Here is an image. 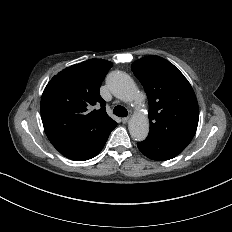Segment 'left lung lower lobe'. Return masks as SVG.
<instances>
[{"label": "left lung lower lobe", "mask_w": 232, "mask_h": 232, "mask_svg": "<svg viewBox=\"0 0 232 232\" xmlns=\"http://www.w3.org/2000/svg\"><path fill=\"white\" fill-rule=\"evenodd\" d=\"M137 146L146 157L158 161L172 159L184 150L175 144L151 135H148L144 141L138 142Z\"/></svg>", "instance_id": "1"}]
</instances>
